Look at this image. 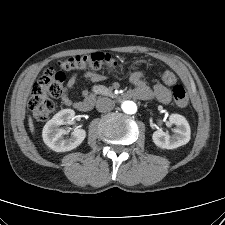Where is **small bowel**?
Masks as SVG:
<instances>
[{
  "instance_id": "1",
  "label": "small bowel",
  "mask_w": 225,
  "mask_h": 225,
  "mask_svg": "<svg viewBox=\"0 0 225 225\" xmlns=\"http://www.w3.org/2000/svg\"><path fill=\"white\" fill-rule=\"evenodd\" d=\"M82 78L86 81L98 82L102 81L105 76L94 71H86L82 74ZM80 75L76 72L72 73L67 83L62 89V102L66 106H75L76 101L70 96V91L74 88ZM130 81L134 85V89L130 92V96L139 99L147 100L156 98L161 103H168L171 99L170 89L167 85L156 83L153 87H150L144 80L142 72H134L130 76Z\"/></svg>"
}]
</instances>
